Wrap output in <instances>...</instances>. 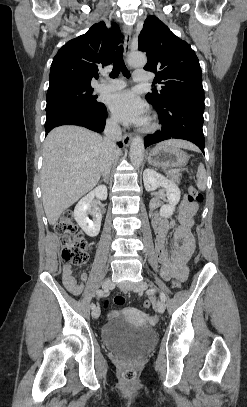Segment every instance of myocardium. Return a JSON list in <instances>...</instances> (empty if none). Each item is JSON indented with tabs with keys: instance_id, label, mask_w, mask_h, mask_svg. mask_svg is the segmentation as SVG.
I'll use <instances>...</instances> for the list:
<instances>
[{
	"instance_id": "f54148a6",
	"label": "myocardium",
	"mask_w": 247,
	"mask_h": 407,
	"mask_svg": "<svg viewBox=\"0 0 247 407\" xmlns=\"http://www.w3.org/2000/svg\"><path fill=\"white\" fill-rule=\"evenodd\" d=\"M156 128H157V125L155 123L151 122L146 126L145 130L146 131H154Z\"/></svg>"
}]
</instances>
